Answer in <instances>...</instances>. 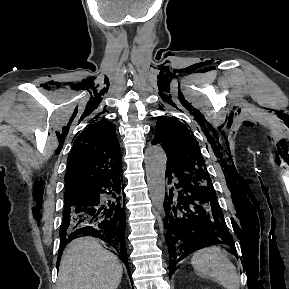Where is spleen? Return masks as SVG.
Instances as JSON below:
<instances>
[{"instance_id":"1","label":"spleen","mask_w":289,"mask_h":289,"mask_svg":"<svg viewBox=\"0 0 289 289\" xmlns=\"http://www.w3.org/2000/svg\"><path fill=\"white\" fill-rule=\"evenodd\" d=\"M191 264L203 278H211L225 289H239L236 267L219 246L202 248L193 254Z\"/></svg>"}]
</instances>
